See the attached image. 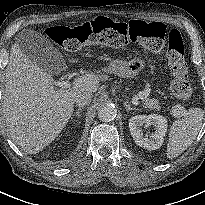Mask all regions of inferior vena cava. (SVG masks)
I'll use <instances>...</instances> for the list:
<instances>
[{"label": "inferior vena cava", "instance_id": "inferior-vena-cava-1", "mask_svg": "<svg viewBox=\"0 0 205 205\" xmlns=\"http://www.w3.org/2000/svg\"><path fill=\"white\" fill-rule=\"evenodd\" d=\"M92 99V93L81 92L75 97V103L79 106L87 104Z\"/></svg>", "mask_w": 205, "mask_h": 205}]
</instances>
